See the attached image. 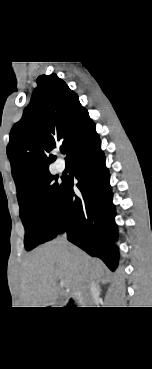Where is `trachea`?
Returning <instances> with one entry per match:
<instances>
[{"mask_svg": "<svg viewBox=\"0 0 152 369\" xmlns=\"http://www.w3.org/2000/svg\"><path fill=\"white\" fill-rule=\"evenodd\" d=\"M60 151H61L62 154H64L65 149L64 148H61Z\"/></svg>", "mask_w": 152, "mask_h": 369, "instance_id": "obj_1", "label": "trachea"}]
</instances>
